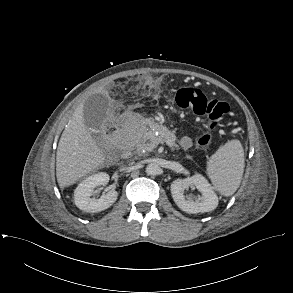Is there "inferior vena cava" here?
Masks as SVG:
<instances>
[{"mask_svg":"<svg viewBox=\"0 0 293 293\" xmlns=\"http://www.w3.org/2000/svg\"><path fill=\"white\" fill-rule=\"evenodd\" d=\"M127 169V167H121V170H126Z\"/></svg>","mask_w":293,"mask_h":293,"instance_id":"obj_1","label":"inferior vena cava"}]
</instances>
